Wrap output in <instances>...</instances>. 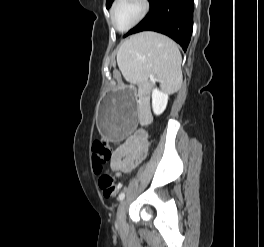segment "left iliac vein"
I'll use <instances>...</instances> for the list:
<instances>
[{
  "instance_id": "obj_1",
  "label": "left iliac vein",
  "mask_w": 264,
  "mask_h": 247,
  "mask_svg": "<svg viewBox=\"0 0 264 247\" xmlns=\"http://www.w3.org/2000/svg\"><path fill=\"white\" fill-rule=\"evenodd\" d=\"M117 224L119 229L123 230L126 228V201L122 200L117 209Z\"/></svg>"
}]
</instances>
